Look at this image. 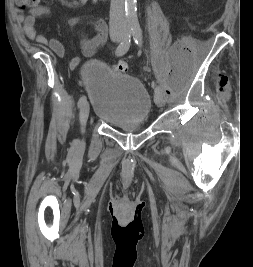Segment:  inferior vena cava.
Returning <instances> with one entry per match:
<instances>
[{
  "mask_svg": "<svg viewBox=\"0 0 253 267\" xmlns=\"http://www.w3.org/2000/svg\"><path fill=\"white\" fill-rule=\"evenodd\" d=\"M125 28L124 0H111L110 30H123Z\"/></svg>",
  "mask_w": 253,
  "mask_h": 267,
  "instance_id": "obj_1",
  "label": "inferior vena cava"
}]
</instances>
